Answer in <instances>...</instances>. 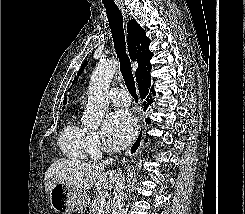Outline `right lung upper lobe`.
Listing matches in <instances>:
<instances>
[{"instance_id": "1", "label": "right lung upper lobe", "mask_w": 245, "mask_h": 214, "mask_svg": "<svg viewBox=\"0 0 245 214\" xmlns=\"http://www.w3.org/2000/svg\"><path fill=\"white\" fill-rule=\"evenodd\" d=\"M127 32V45L131 60L138 62V68L135 73L136 81L138 82L151 69L150 58L152 57V52L149 50L151 41L146 37L144 29L135 20L128 22ZM65 103L66 98L63 104Z\"/></svg>"}]
</instances>
